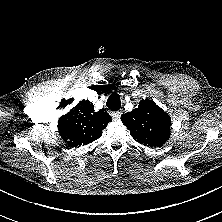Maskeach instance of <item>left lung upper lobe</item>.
Segmentation results:
<instances>
[{"label":"left lung upper lobe","mask_w":222,"mask_h":222,"mask_svg":"<svg viewBox=\"0 0 222 222\" xmlns=\"http://www.w3.org/2000/svg\"><path fill=\"white\" fill-rule=\"evenodd\" d=\"M130 134L140 144L159 147L170 137L171 120L152 100L145 99L138 108L121 116Z\"/></svg>","instance_id":"obj_1"}]
</instances>
